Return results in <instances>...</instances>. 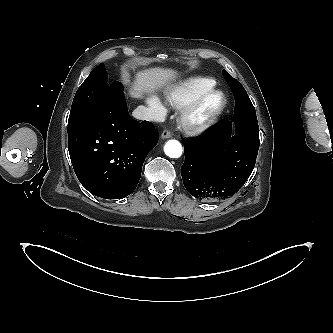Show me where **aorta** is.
Here are the masks:
<instances>
[{"mask_svg":"<svg viewBox=\"0 0 333 333\" xmlns=\"http://www.w3.org/2000/svg\"><path fill=\"white\" fill-rule=\"evenodd\" d=\"M164 151L170 158H179L182 155L181 143L177 140H169L164 146Z\"/></svg>","mask_w":333,"mask_h":333,"instance_id":"obj_1","label":"aorta"}]
</instances>
